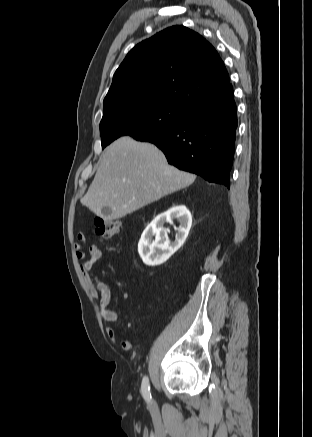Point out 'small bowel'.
<instances>
[{
  "label": "small bowel",
  "mask_w": 312,
  "mask_h": 437,
  "mask_svg": "<svg viewBox=\"0 0 312 437\" xmlns=\"http://www.w3.org/2000/svg\"><path fill=\"white\" fill-rule=\"evenodd\" d=\"M74 248L76 257L81 261L79 267L84 282L93 298L99 301L103 319L108 323H116L118 321V314L109 307L111 290L93 271L94 265L103 257V251L95 244H88L83 232L77 234V243L74 245ZM106 333L109 339L113 343L118 344L123 350L130 351L133 348L130 341L119 338L113 327L108 326Z\"/></svg>",
  "instance_id": "small-bowel-1"
}]
</instances>
